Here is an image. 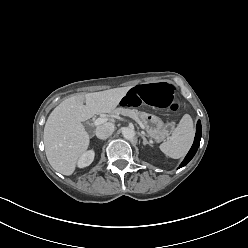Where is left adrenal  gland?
I'll use <instances>...</instances> for the list:
<instances>
[{
    "mask_svg": "<svg viewBox=\"0 0 248 248\" xmlns=\"http://www.w3.org/2000/svg\"><path fill=\"white\" fill-rule=\"evenodd\" d=\"M141 137L143 139V144L144 145H149V146H152V144L150 142L147 141V139L145 138L144 134L141 133Z\"/></svg>",
    "mask_w": 248,
    "mask_h": 248,
    "instance_id": "obj_1",
    "label": "left adrenal gland"
}]
</instances>
